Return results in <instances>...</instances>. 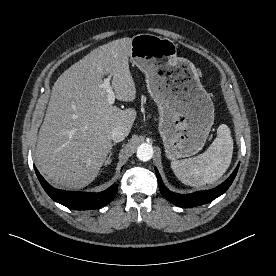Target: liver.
<instances>
[{"label":"liver","instance_id":"1","mask_svg":"<svg viewBox=\"0 0 276 276\" xmlns=\"http://www.w3.org/2000/svg\"><path fill=\"white\" fill-rule=\"evenodd\" d=\"M131 42L125 37L99 46L54 83L35 151L39 171L52 183L71 189L87 186L107 158L112 130L121 126L129 134L136 111L109 104L101 85L109 75L118 100L136 98L129 70Z\"/></svg>","mask_w":276,"mask_h":276}]
</instances>
